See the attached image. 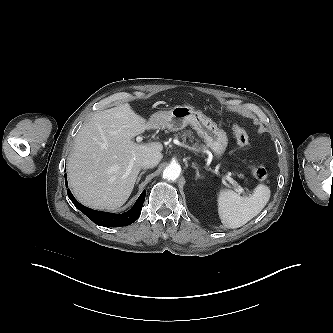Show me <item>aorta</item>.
Returning <instances> with one entry per match:
<instances>
[{
  "label": "aorta",
  "instance_id": "obj_1",
  "mask_svg": "<svg viewBox=\"0 0 333 333\" xmlns=\"http://www.w3.org/2000/svg\"><path fill=\"white\" fill-rule=\"evenodd\" d=\"M181 168L178 164H170L163 171V177L168 180H176L180 176Z\"/></svg>",
  "mask_w": 333,
  "mask_h": 333
}]
</instances>
